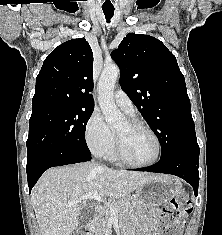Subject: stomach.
<instances>
[{"mask_svg":"<svg viewBox=\"0 0 222 235\" xmlns=\"http://www.w3.org/2000/svg\"><path fill=\"white\" fill-rule=\"evenodd\" d=\"M181 190L180 181L172 176H157L146 182L130 196L135 209L157 206L169 201Z\"/></svg>","mask_w":222,"mask_h":235,"instance_id":"obj_1","label":"stomach"}]
</instances>
